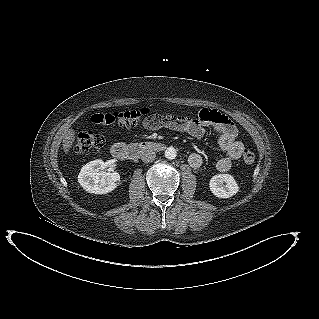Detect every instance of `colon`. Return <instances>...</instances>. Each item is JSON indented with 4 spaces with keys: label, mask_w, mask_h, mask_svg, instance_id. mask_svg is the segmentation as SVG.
Returning <instances> with one entry per match:
<instances>
[{
    "label": "colon",
    "mask_w": 319,
    "mask_h": 319,
    "mask_svg": "<svg viewBox=\"0 0 319 319\" xmlns=\"http://www.w3.org/2000/svg\"><path fill=\"white\" fill-rule=\"evenodd\" d=\"M148 113V108L124 112L114 111L103 114L102 119L106 124L130 127L137 125ZM104 143L105 138L102 135L91 131H84L76 136L74 149L76 153L84 154L94 149L101 148ZM254 160L255 154L250 150H245L243 153V161L246 164H252Z\"/></svg>",
    "instance_id": "1"
}]
</instances>
